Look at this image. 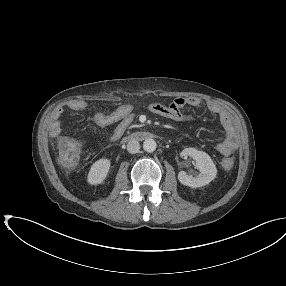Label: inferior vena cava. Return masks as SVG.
I'll use <instances>...</instances> for the list:
<instances>
[{"instance_id":"obj_1","label":"inferior vena cava","mask_w":286,"mask_h":286,"mask_svg":"<svg viewBox=\"0 0 286 286\" xmlns=\"http://www.w3.org/2000/svg\"><path fill=\"white\" fill-rule=\"evenodd\" d=\"M140 144L137 140H130L127 144V151L131 154L139 152Z\"/></svg>"}]
</instances>
